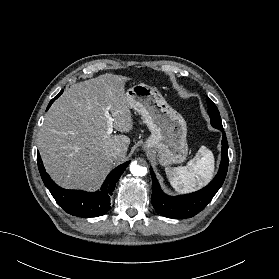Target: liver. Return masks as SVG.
<instances>
[{
    "mask_svg": "<svg viewBox=\"0 0 279 279\" xmlns=\"http://www.w3.org/2000/svg\"><path fill=\"white\" fill-rule=\"evenodd\" d=\"M128 80L106 73L73 84L50 107L37 142L44 166L59 186L95 190L113 162L125 159L130 138L107 133L106 111L117 131L132 130ZM115 148L120 155L110 157Z\"/></svg>",
    "mask_w": 279,
    "mask_h": 279,
    "instance_id": "obj_1",
    "label": "liver"
}]
</instances>
